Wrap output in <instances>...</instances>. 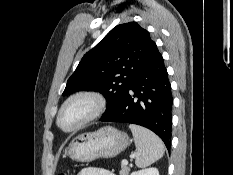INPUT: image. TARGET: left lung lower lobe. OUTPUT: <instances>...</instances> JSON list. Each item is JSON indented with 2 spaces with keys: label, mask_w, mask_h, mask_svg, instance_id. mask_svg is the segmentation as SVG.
I'll list each match as a JSON object with an SVG mask.
<instances>
[{
  "label": "left lung lower lobe",
  "mask_w": 233,
  "mask_h": 175,
  "mask_svg": "<svg viewBox=\"0 0 233 175\" xmlns=\"http://www.w3.org/2000/svg\"><path fill=\"white\" fill-rule=\"evenodd\" d=\"M172 103L168 73L156 47L128 87L120 105L101 120L144 126L156 133L169 150Z\"/></svg>",
  "instance_id": "0a47b994"
}]
</instances>
